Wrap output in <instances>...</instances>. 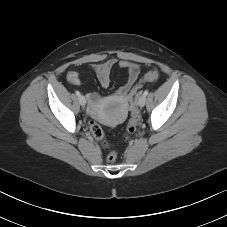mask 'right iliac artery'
Listing matches in <instances>:
<instances>
[{
  "mask_svg": "<svg viewBox=\"0 0 227 227\" xmlns=\"http://www.w3.org/2000/svg\"><path fill=\"white\" fill-rule=\"evenodd\" d=\"M75 94H76L77 96H80V92H79V91H76Z\"/></svg>",
  "mask_w": 227,
  "mask_h": 227,
  "instance_id": "82829eb1",
  "label": "right iliac artery"
}]
</instances>
